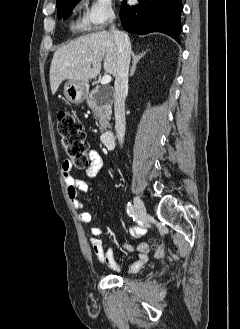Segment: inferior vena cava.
Masks as SVG:
<instances>
[{"label":"inferior vena cava","instance_id":"inferior-vena-cava-1","mask_svg":"<svg viewBox=\"0 0 240 329\" xmlns=\"http://www.w3.org/2000/svg\"><path fill=\"white\" fill-rule=\"evenodd\" d=\"M111 20V31L117 45V70L115 74V129L121 145L124 142L126 119H125V98L128 93V72L130 65L131 44L126 34L115 29Z\"/></svg>","mask_w":240,"mask_h":329}]
</instances>
